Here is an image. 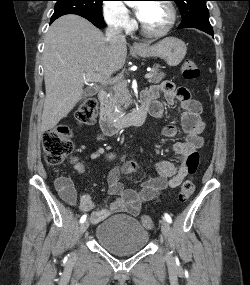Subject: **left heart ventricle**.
Listing matches in <instances>:
<instances>
[{
    "label": "left heart ventricle",
    "mask_w": 250,
    "mask_h": 285,
    "mask_svg": "<svg viewBox=\"0 0 250 285\" xmlns=\"http://www.w3.org/2000/svg\"><path fill=\"white\" fill-rule=\"evenodd\" d=\"M169 11L159 2L145 3L144 14L141 19L143 25L150 31H160L169 22Z\"/></svg>",
    "instance_id": "b2bd125f"
}]
</instances>
